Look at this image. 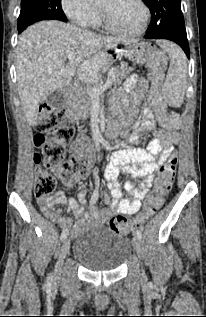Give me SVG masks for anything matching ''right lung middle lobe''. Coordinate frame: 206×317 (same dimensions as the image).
I'll return each instance as SVG.
<instances>
[{
  "label": "right lung middle lobe",
  "mask_w": 206,
  "mask_h": 317,
  "mask_svg": "<svg viewBox=\"0 0 206 317\" xmlns=\"http://www.w3.org/2000/svg\"><path fill=\"white\" fill-rule=\"evenodd\" d=\"M50 19L67 21L61 8V0H21V12L18 18L20 33L35 22Z\"/></svg>",
  "instance_id": "1"
}]
</instances>
